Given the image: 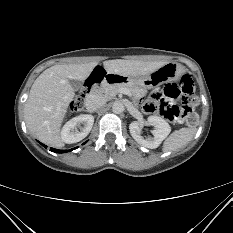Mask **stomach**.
I'll use <instances>...</instances> for the list:
<instances>
[{
    "instance_id": "0dacf381",
    "label": "stomach",
    "mask_w": 233,
    "mask_h": 233,
    "mask_svg": "<svg viewBox=\"0 0 233 233\" xmlns=\"http://www.w3.org/2000/svg\"><path fill=\"white\" fill-rule=\"evenodd\" d=\"M184 72V68L177 63H166L154 72L141 77H128L120 74L114 77V80L119 84H125L132 88H147L151 83L153 85H161L168 81H173L179 78Z\"/></svg>"
}]
</instances>
